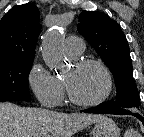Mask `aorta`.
Masks as SVG:
<instances>
[{
  "instance_id": "aorta-1",
  "label": "aorta",
  "mask_w": 144,
  "mask_h": 137,
  "mask_svg": "<svg viewBox=\"0 0 144 137\" xmlns=\"http://www.w3.org/2000/svg\"><path fill=\"white\" fill-rule=\"evenodd\" d=\"M63 31L57 27L48 32L42 40V57L51 69H60L64 66Z\"/></svg>"
}]
</instances>
